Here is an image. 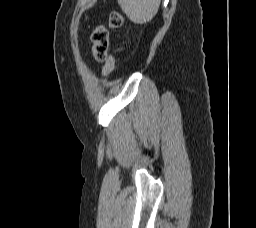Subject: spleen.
<instances>
[{"label": "spleen", "instance_id": "3e777b00", "mask_svg": "<svg viewBox=\"0 0 256 228\" xmlns=\"http://www.w3.org/2000/svg\"><path fill=\"white\" fill-rule=\"evenodd\" d=\"M161 0H118L122 11L135 24H145L157 14Z\"/></svg>", "mask_w": 256, "mask_h": 228}]
</instances>
